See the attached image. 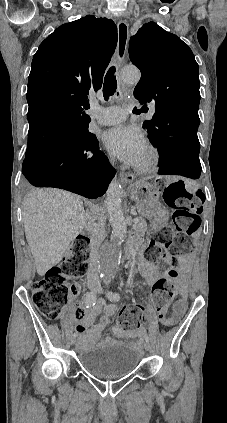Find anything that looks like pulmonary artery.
<instances>
[{
	"label": "pulmonary artery",
	"instance_id": "obj_1",
	"mask_svg": "<svg viewBox=\"0 0 227 423\" xmlns=\"http://www.w3.org/2000/svg\"><path fill=\"white\" fill-rule=\"evenodd\" d=\"M97 123L103 126L118 125L123 123L127 118V109L120 106L98 107L93 111ZM155 113V108L152 107L146 119H150Z\"/></svg>",
	"mask_w": 227,
	"mask_h": 423
}]
</instances>
